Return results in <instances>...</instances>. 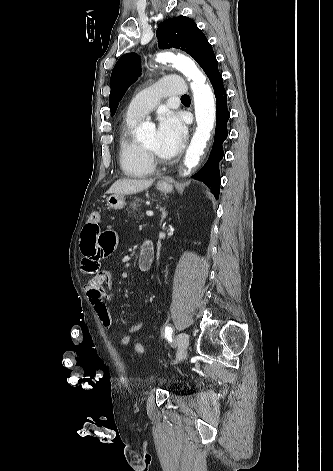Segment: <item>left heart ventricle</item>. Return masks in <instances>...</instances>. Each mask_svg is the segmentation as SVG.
I'll use <instances>...</instances> for the list:
<instances>
[{
	"instance_id": "obj_1",
	"label": "left heart ventricle",
	"mask_w": 333,
	"mask_h": 471,
	"mask_svg": "<svg viewBox=\"0 0 333 471\" xmlns=\"http://www.w3.org/2000/svg\"><path fill=\"white\" fill-rule=\"evenodd\" d=\"M147 148L156 152L160 157H164L158 151V136L157 132H153L146 141L143 143Z\"/></svg>"
}]
</instances>
